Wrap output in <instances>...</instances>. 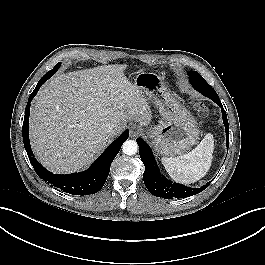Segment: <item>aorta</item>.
I'll use <instances>...</instances> for the list:
<instances>
[{
    "label": "aorta",
    "instance_id": "obj_1",
    "mask_svg": "<svg viewBox=\"0 0 265 265\" xmlns=\"http://www.w3.org/2000/svg\"><path fill=\"white\" fill-rule=\"evenodd\" d=\"M122 150L126 155H134L138 150V145L134 140H127L123 143Z\"/></svg>",
    "mask_w": 265,
    "mask_h": 265
}]
</instances>
